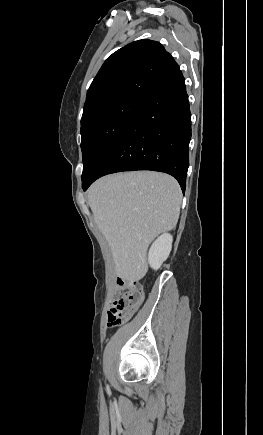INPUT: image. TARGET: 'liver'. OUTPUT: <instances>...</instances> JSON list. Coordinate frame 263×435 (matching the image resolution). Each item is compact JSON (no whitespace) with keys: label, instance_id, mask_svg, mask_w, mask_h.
<instances>
[{"label":"liver","instance_id":"obj_1","mask_svg":"<svg viewBox=\"0 0 263 435\" xmlns=\"http://www.w3.org/2000/svg\"><path fill=\"white\" fill-rule=\"evenodd\" d=\"M181 200L176 179L158 172L112 174L92 184L88 204L118 277L139 281L146 275L147 249L159 234L175 228Z\"/></svg>","mask_w":263,"mask_h":435}]
</instances>
